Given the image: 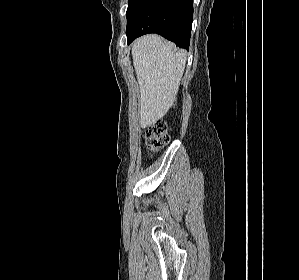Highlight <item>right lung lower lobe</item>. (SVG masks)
<instances>
[{
	"mask_svg": "<svg viewBox=\"0 0 299 280\" xmlns=\"http://www.w3.org/2000/svg\"><path fill=\"white\" fill-rule=\"evenodd\" d=\"M128 44L137 37L157 33L188 49L193 20V0H128Z\"/></svg>",
	"mask_w": 299,
	"mask_h": 280,
	"instance_id": "1",
	"label": "right lung lower lobe"
}]
</instances>
